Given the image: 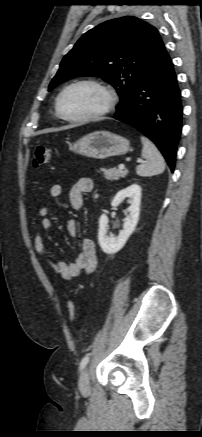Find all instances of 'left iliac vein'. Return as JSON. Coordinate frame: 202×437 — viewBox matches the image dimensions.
<instances>
[{"mask_svg": "<svg viewBox=\"0 0 202 437\" xmlns=\"http://www.w3.org/2000/svg\"><path fill=\"white\" fill-rule=\"evenodd\" d=\"M79 389L82 392L90 391V379H89V372L87 369H84L80 374Z\"/></svg>", "mask_w": 202, "mask_h": 437, "instance_id": "4c4485c4", "label": "left iliac vein"}]
</instances>
